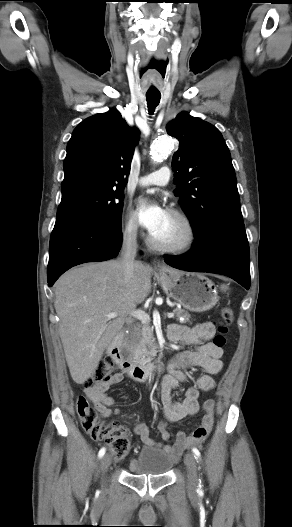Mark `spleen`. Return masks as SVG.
Masks as SVG:
<instances>
[{"instance_id":"3e777b00","label":"spleen","mask_w":292,"mask_h":527,"mask_svg":"<svg viewBox=\"0 0 292 527\" xmlns=\"http://www.w3.org/2000/svg\"><path fill=\"white\" fill-rule=\"evenodd\" d=\"M221 289L222 290H226V289H228V287L226 285H221Z\"/></svg>"}]
</instances>
